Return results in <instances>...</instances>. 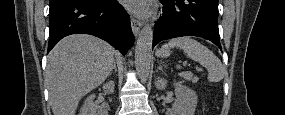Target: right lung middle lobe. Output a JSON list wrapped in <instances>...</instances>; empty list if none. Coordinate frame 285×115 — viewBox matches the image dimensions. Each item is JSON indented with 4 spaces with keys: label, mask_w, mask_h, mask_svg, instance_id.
Segmentation results:
<instances>
[{
    "label": "right lung middle lobe",
    "mask_w": 285,
    "mask_h": 115,
    "mask_svg": "<svg viewBox=\"0 0 285 115\" xmlns=\"http://www.w3.org/2000/svg\"><path fill=\"white\" fill-rule=\"evenodd\" d=\"M55 1H56V0H50V4L53 3V2H55Z\"/></svg>",
    "instance_id": "dd1d6c3e"
}]
</instances>
